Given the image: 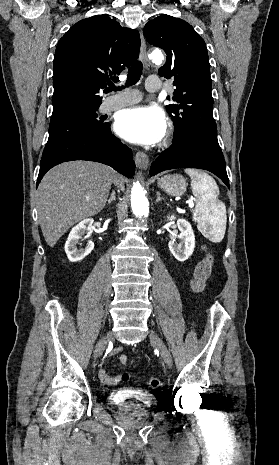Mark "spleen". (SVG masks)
<instances>
[{
  "mask_svg": "<svg viewBox=\"0 0 279 465\" xmlns=\"http://www.w3.org/2000/svg\"><path fill=\"white\" fill-rule=\"evenodd\" d=\"M191 177L192 193L195 196L193 220L198 229L208 235L213 242H221L226 230V207L218 200L219 188L215 180L207 173L186 169Z\"/></svg>",
  "mask_w": 279,
  "mask_h": 465,
  "instance_id": "spleen-1",
  "label": "spleen"
}]
</instances>
